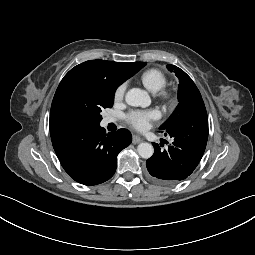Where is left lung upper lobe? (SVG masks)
I'll list each match as a JSON object with an SVG mask.
<instances>
[{
  "label": "left lung upper lobe",
  "instance_id": "1",
  "mask_svg": "<svg viewBox=\"0 0 255 255\" xmlns=\"http://www.w3.org/2000/svg\"><path fill=\"white\" fill-rule=\"evenodd\" d=\"M166 67L169 71L175 72L176 76L179 78V104L172 116L159 128L160 130L167 129L184 114L198 106L204 105L202 96L192 79L183 70L176 68L174 65H167Z\"/></svg>",
  "mask_w": 255,
  "mask_h": 255
}]
</instances>
